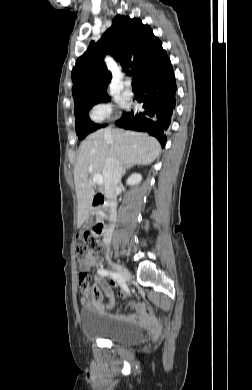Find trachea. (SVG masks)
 Listing matches in <instances>:
<instances>
[{"instance_id":"1","label":"trachea","mask_w":252,"mask_h":390,"mask_svg":"<svg viewBox=\"0 0 252 390\" xmlns=\"http://www.w3.org/2000/svg\"><path fill=\"white\" fill-rule=\"evenodd\" d=\"M132 87L137 88V84L134 78H132Z\"/></svg>"}]
</instances>
